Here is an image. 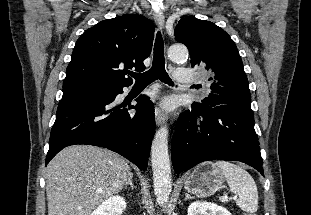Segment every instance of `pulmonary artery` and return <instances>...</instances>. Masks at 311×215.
Instances as JSON below:
<instances>
[{"instance_id": "e3ab8cb5", "label": "pulmonary artery", "mask_w": 311, "mask_h": 215, "mask_svg": "<svg viewBox=\"0 0 311 215\" xmlns=\"http://www.w3.org/2000/svg\"><path fill=\"white\" fill-rule=\"evenodd\" d=\"M174 78L179 83H191L195 81V77L188 69L178 68L174 71Z\"/></svg>"}]
</instances>
